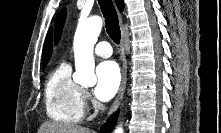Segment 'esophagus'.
<instances>
[{
  "label": "esophagus",
  "instance_id": "esophagus-1",
  "mask_svg": "<svg viewBox=\"0 0 221 133\" xmlns=\"http://www.w3.org/2000/svg\"><path fill=\"white\" fill-rule=\"evenodd\" d=\"M120 22L122 23V17L120 16ZM120 52H121V58H122V81L121 85L118 91V94L116 96V99L112 103L107 117H109L120 105L125 89H126V84H127V61H126V56H125V47H124V32L122 31V39H121V44H120Z\"/></svg>",
  "mask_w": 221,
  "mask_h": 133
}]
</instances>
